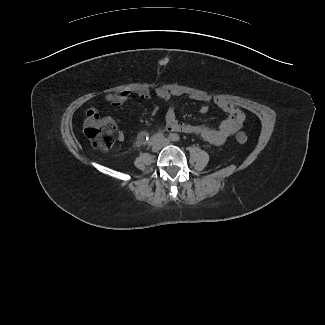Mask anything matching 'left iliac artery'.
Instances as JSON below:
<instances>
[{
	"instance_id": "obj_1",
	"label": "left iliac artery",
	"mask_w": 325,
	"mask_h": 325,
	"mask_svg": "<svg viewBox=\"0 0 325 325\" xmlns=\"http://www.w3.org/2000/svg\"><path fill=\"white\" fill-rule=\"evenodd\" d=\"M169 139H170L171 141H178V140H179V136H178L177 134L171 133V134L169 135Z\"/></svg>"
}]
</instances>
